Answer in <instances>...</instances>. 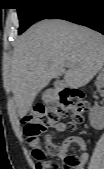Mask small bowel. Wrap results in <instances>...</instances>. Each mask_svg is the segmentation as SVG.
I'll return each instance as SVG.
<instances>
[{"label": "small bowel", "mask_w": 104, "mask_h": 169, "mask_svg": "<svg viewBox=\"0 0 104 169\" xmlns=\"http://www.w3.org/2000/svg\"><path fill=\"white\" fill-rule=\"evenodd\" d=\"M54 128L58 132H65L68 126L65 123H58L54 125ZM47 143L53 144L50 141H48ZM73 146H77L82 151L79 157V165L76 167V169H85V165L89 160V154L86 151L85 140L79 135H72L68 137L61 146H57L59 150V157L64 160L65 157L68 156L70 148Z\"/></svg>", "instance_id": "c3829d8e"}]
</instances>
